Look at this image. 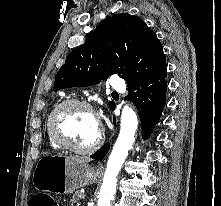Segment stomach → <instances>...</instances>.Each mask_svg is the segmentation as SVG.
<instances>
[{"label": "stomach", "instance_id": "obj_1", "mask_svg": "<svg viewBox=\"0 0 221 206\" xmlns=\"http://www.w3.org/2000/svg\"><path fill=\"white\" fill-rule=\"evenodd\" d=\"M99 171L88 163L66 155H46L39 159L32 178L38 191L67 194L96 182Z\"/></svg>", "mask_w": 221, "mask_h": 206}]
</instances>
